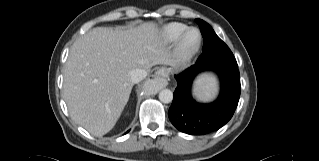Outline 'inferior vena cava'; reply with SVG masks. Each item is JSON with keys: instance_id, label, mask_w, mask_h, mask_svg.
Segmentation results:
<instances>
[{"instance_id": "602c4592", "label": "inferior vena cava", "mask_w": 319, "mask_h": 161, "mask_svg": "<svg viewBox=\"0 0 319 161\" xmlns=\"http://www.w3.org/2000/svg\"><path fill=\"white\" fill-rule=\"evenodd\" d=\"M128 75L132 83H138L146 77L147 72L143 69H133Z\"/></svg>"}]
</instances>
